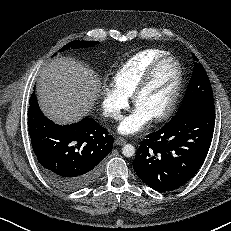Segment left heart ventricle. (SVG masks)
Instances as JSON below:
<instances>
[{
    "mask_svg": "<svg viewBox=\"0 0 231 231\" xmlns=\"http://www.w3.org/2000/svg\"><path fill=\"white\" fill-rule=\"evenodd\" d=\"M176 80V65L168 60L160 65L149 86L140 96L137 108L151 118L161 113L169 102Z\"/></svg>",
    "mask_w": 231,
    "mask_h": 231,
    "instance_id": "left-heart-ventricle-1",
    "label": "left heart ventricle"
}]
</instances>
